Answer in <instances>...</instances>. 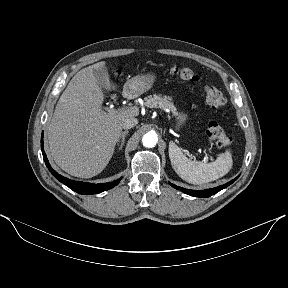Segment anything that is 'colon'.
<instances>
[{
	"instance_id": "colon-1",
	"label": "colon",
	"mask_w": 288,
	"mask_h": 288,
	"mask_svg": "<svg viewBox=\"0 0 288 288\" xmlns=\"http://www.w3.org/2000/svg\"><path fill=\"white\" fill-rule=\"evenodd\" d=\"M171 73L186 81L196 82L199 80V76L188 67H174L171 69ZM203 90L206 103L210 108L220 109L225 105L226 98L218 88L212 85H205ZM206 134L219 148H225L231 143L230 137L225 133L222 126L215 121L208 123Z\"/></svg>"
}]
</instances>
